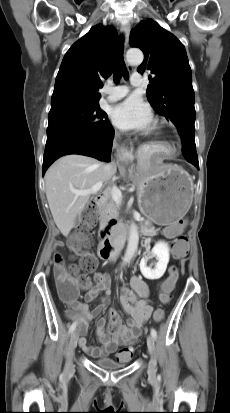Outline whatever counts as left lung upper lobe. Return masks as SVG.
I'll return each instance as SVG.
<instances>
[{
    "label": "left lung upper lobe",
    "mask_w": 230,
    "mask_h": 413,
    "mask_svg": "<svg viewBox=\"0 0 230 413\" xmlns=\"http://www.w3.org/2000/svg\"><path fill=\"white\" fill-rule=\"evenodd\" d=\"M130 45L144 53V61L137 70L151 73L146 95L152 107L173 122L180 136L187 133L194 137V90L184 45L149 18L132 29Z\"/></svg>",
    "instance_id": "left-lung-upper-lobe-1"
}]
</instances>
